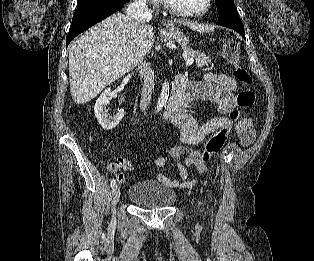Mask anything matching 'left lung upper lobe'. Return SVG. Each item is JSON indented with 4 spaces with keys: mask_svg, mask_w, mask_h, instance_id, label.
Segmentation results:
<instances>
[{
    "mask_svg": "<svg viewBox=\"0 0 314 261\" xmlns=\"http://www.w3.org/2000/svg\"><path fill=\"white\" fill-rule=\"evenodd\" d=\"M219 14L218 24L234 30H243V24L237 14L233 0H215Z\"/></svg>",
    "mask_w": 314,
    "mask_h": 261,
    "instance_id": "left-lung-upper-lobe-1",
    "label": "left lung upper lobe"
}]
</instances>
